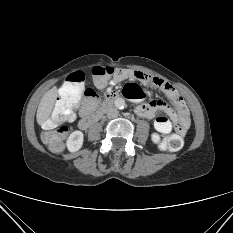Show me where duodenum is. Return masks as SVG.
I'll return each mask as SVG.
<instances>
[{"label":"duodenum","mask_w":233,"mask_h":233,"mask_svg":"<svg viewBox=\"0 0 233 233\" xmlns=\"http://www.w3.org/2000/svg\"><path fill=\"white\" fill-rule=\"evenodd\" d=\"M120 97L119 93L111 92L107 94L100 108L91 116L84 117L80 120V128L87 129L89 128L100 116L109 109L112 103Z\"/></svg>","instance_id":"1"}]
</instances>
